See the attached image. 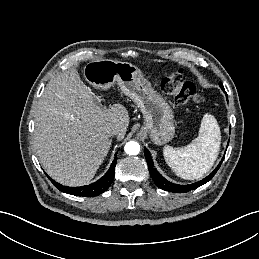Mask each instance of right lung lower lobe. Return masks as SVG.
I'll return each mask as SVG.
<instances>
[{"instance_id": "right-lung-lower-lobe-1", "label": "right lung lower lobe", "mask_w": 259, "mask_h": 259, "mask_svg": "<svg viewBox=\"0 0 259 259\" xmlns=\"http://www.w3.org/2000/svg\"><path fill=\"white\" fill-rule=\"evenodd\" d=\"M115 166H116V156L107 173L98 181L86 186L67 187L53 181L52 179L50 180L56 186V188H58L60 191L64 193H68L74 196H84V197L98 196L101 193L105 192L110 187L114 179Z\"/></svg>"}]
</instances>
